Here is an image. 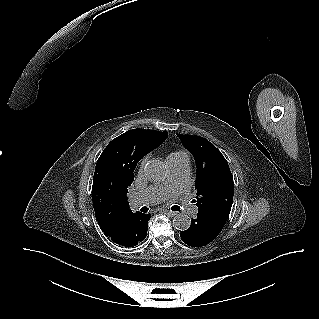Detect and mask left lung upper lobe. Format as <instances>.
Masks as SVG:
<instances>
[{
	"label": "left lung upper lobe",
	"mask_w": 319,
	"mask_h": 319,
	"mask_svg": "<svg viewBox=\"0 0 319 319\" xmlns=\"http://www.w3.org/2000/svg\"><path fill=\"white\" fill-rule=\"evenodd\" d=\"M190 151L197 166L194 200L199 210L226 208L231 210L234 183L229 165L222 153L208 140L194 135L177 134Z\"/></svg>",
	"instance_id": "5c2ea615"
}]
</instances>
